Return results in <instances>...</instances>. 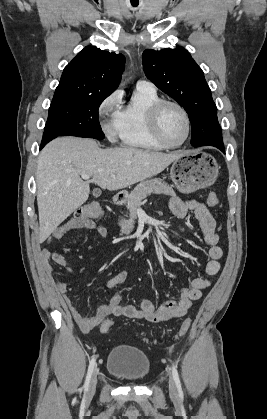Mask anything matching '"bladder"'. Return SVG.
I'll return each instance as SVG.
<instances>
[{"label":"bladder","instance_id":"obj_1","mask_svg":"<svg viewBox=\"0 0 267 419\" xmlns=\"http://www.w3.org/2000/svg\"><path fill=\"white\" fill-rule=\"evenodd\" d=\"M151 370L149 357L140 349L118 345L111 349L107 359V371L113 377L125 382L144 381Z\"/></svg>","mask_w":267,"mask_h":419}]
</instances>
